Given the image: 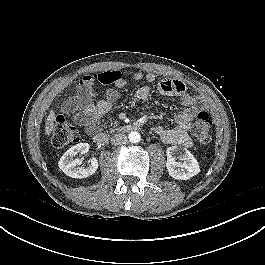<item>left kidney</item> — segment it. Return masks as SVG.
Masks as SVG:
<instances>
[{
  "instance_id": "left-kidney-1",
  "label": "left kidney",
  "mask_w": 265,
  "mask_h": 265,
  "mask_svg": "<svg viewBox=\"0 0 265 265\" xmlns=\"http://www.w3.org/2000/svg\"><path fill=\"white\" fill-rule=\"evenodd\" d=\"M166 167L169 175L177 180H188L200 172L195 157L181 146H171L166 150ZM183 162H177L176 160Z\"/></svg>"
}]
</instances>
